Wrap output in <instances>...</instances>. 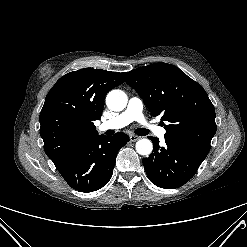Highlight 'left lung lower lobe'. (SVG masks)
<instances>
[{"label":"left lung lower lobe","instance_id":"0a47b994","mask_svg":"<svg viewBox=\"0 0 247 247\" xmlns=\"http://www.w3.org/2000/svg\"><path fill=\"white\" fill-rule=\"evenodd\" d=\"M150 139L154 150L148 158L143 159V165L150 181L160 188L174 189L187 183L208 154L166 139V145L160 147L158 138Z\"/></svg>","mask_w":247,"mask_h":247}]
</instances>
